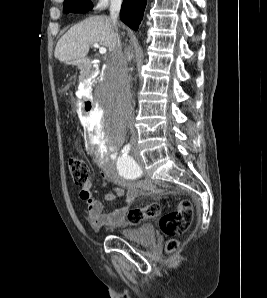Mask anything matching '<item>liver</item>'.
<instances>
[{"mask_svg":"<svg viewBox=\"0 0 267 298\" xmlns=\"http://www.w3.org/2000/svg\"><path fill=\"white\" fill-rule=\"evenodd\" d=\"M107 16H92L71 27L58 41L54 56L60 62H79L85 58L94 43L110 52L117 44L118 34Z\"/></svg>","mask_w":267,"mask_h":298,"instance_id":"6515ba94","label":"liver"}]
</instances>
